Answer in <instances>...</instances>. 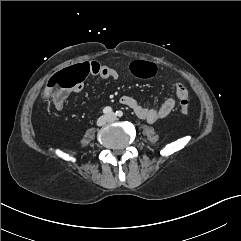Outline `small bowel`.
Listing matches in <instances>:
<instances>
[{
	"instance_id": "small-bowel-1",
	"label": "small bowel",
	"mask_w": 241,
	"mask_h": 241,
	"mask_svg": "<svg viewBox=\"0 0 241 241\" xmlns=\"http://www.w3.org/2000/svg\"><path fill=\"white\" fill-rule=\"evenodd\" d=\"M91 65L90 74L97 75L104 80H117L119 78L118 71L110 66L101 64L97 61H88ZM83 88V84H79L74 88V92H80ZM180 88L186 89L182 84H177L175 86V92L178 93ZM65 94V98H66ZM178 96V95H177ZM119 103L121 105L131 108L136 116L142 120L149 123L157 122L165 117H167L175 107L174 98L166 99L159 108H148L143 106L140 101L132 96L123 95L119 98ZM55 108L59 111L63 109L64 101L53 103Z\"/></svg>"
}]
</instances>
